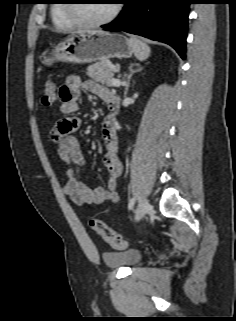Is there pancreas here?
Returning a JSON list of instances; mask_svg holds the SVG:
<instances>
[{
  "label": "pancreas",
  "mask_w": 236,
  "mask_h": 321,
  "mask_svg": "<svg viewBox=\"0 0 236 321\" xmlns=\"http://www.w3.org/2000/svg\"><path fill=\"white\" fill-rule=\"evenodd\" d=\"M90 78L105 84L108 87L114 86L112 78L114 75L113 65L109 61H100L87 68Z\"/></svg>",
  "instance_id": "obj_1"
}]
</instances>
